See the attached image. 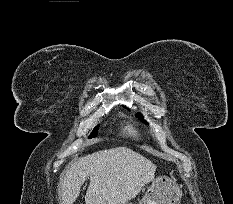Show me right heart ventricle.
Segmentation results:
<instances>
[{
  "label": "right heart ventricle",
  "mask_w": 233,
  "mask_h": 204,
  "mask_svg": "<svg viewBox=\"0 0 233 204\" xmlns=\"http://www.w3.org/2000/svg\"><path fill=\"white\" fill-rule=\"evenodd\" d=\"M122 133L130 138L133 139H138L139 138V133L138 131L131 125H126L122 128Z\"/></svg>",
  "instance_id": "right-heart-ventricle-1"
}]
</instances>
